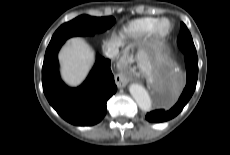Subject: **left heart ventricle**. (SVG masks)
<instances>
[{
  "mask_svg": "<svg viewBox=\"0 0 230 155\" xmlns=\"http://www.w3.org/2000/svg\"><path fill=\"white\" fill-rule=\"evenodd\" d=\"M167 27H168V25H167V24H165V25L163 26V28H164V29H167Z\"/></svg>",
  "mask_w": 230,
  "mask_h": 155,
  "instance_id": "1",
  "label": "left heart ventricle"
}]
</instances>
